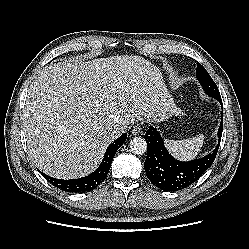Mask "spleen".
<instances>
[{
    "mask_svg": "<svg viewBox=\"0 0 249 249\" xmlns=\"http://www.w3.org/2000/svg\"><path fill=\"white\" fill-rule=\"evenodd\" d=\"M204 143V136L197 135L184 140H167L166 145L173 156L180 160H192L197 157Z\"/></svg>",
    "mask_w": 249,
    "mask_h": 249,
    "instance_id": "spleen-1",
    "label": "spleen"
}]
</instances>
